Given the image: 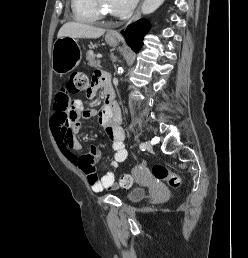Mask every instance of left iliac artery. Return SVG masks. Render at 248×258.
<instances>
[{"instance_id":"44dca946","label":"left iliac artery","mask_w":248,"mask_h":258,"mask_svg":"<svg viewBox=\"0 0 248 258\" xmlns=\"http://www.w3.org/2000/svg\"><path fill=\"white\" fill-rule=\"evenodd\" d=\"M139 147H140V149H141L142 151H144L145 148H146V145H145V143H141Z\"/></svg>"}]
</instances>
